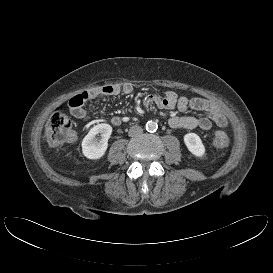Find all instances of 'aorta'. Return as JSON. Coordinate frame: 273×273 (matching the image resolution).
Instances as JSON below:
<instances>
[{
  "label": "aorta",
  "instance_id": "aorta-1",
  "mask_svg": "<svg viewBox=\"0 0 273 273\" xmlns=\"http://www.w3.org/2000/svg\"><path fill=\"white\" fill-rule=\"evenodd\" d=\"M157 128H158V125H157V123L154 122V121H148V122L146 123V130H147L148 132H155V131L157 130Z\"/></svg>",
  "mask_w": 273,
  "mask_h": 273
}]
</instances>
